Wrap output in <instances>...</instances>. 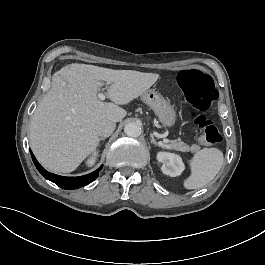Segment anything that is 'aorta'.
Wrapping results in <instances>:
<instances>
[{
	"label": "aorta",
	"instance_id": "aorta-1",
	"mask_svg": "<svg viewBox=\"0 0 265 265\" xmlns=\"http://www.w3.org/2000/svg\"><path fill=\"white\" fill-rule=\"evenodd\" d=\"M124 132L129 137H139L141 135V127L135 122H131L125 125Z\"/></svg>",
	"mask_w": 265,
	"mask_h": 265
}]
</instances>
